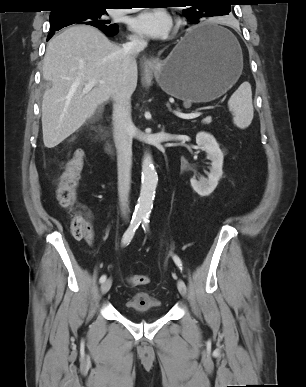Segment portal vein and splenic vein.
<instances>
[{"label": "portal vein and splenic vein", "instance_id": "18ae733b", "mask_svg": "<svg viewBox=\"0 0 306 387\" xmlns=\"http://www.w3.org/2000/svg\"><path fill=\"white\" fill-rule=\"evenodd\" d=\"M96 84V80L95 79H91L87 85H85L84 87V92H88L94 85ZM174 114L179 117V118H182V119H194V118H197L200 116V114L198 112H195V113H181L179 111H174Z\"/></svg>", "mask_w": 306, "mask_h": 387}]
</instances>
